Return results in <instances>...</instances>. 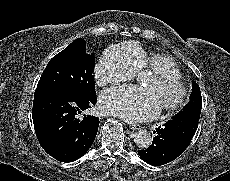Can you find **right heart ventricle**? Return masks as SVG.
I'll list each match as a JSON object with an SVG mask.
<instances>
[{"label": "right heart ventricle", "mask_w": 230, "mask_h": 181, "mask_svg": "<svg viewBox=\"0 0 230 181\" xmlns=\"http://www.w3.org/2000/svg\"><path fill=\"white\" fill-rule=\"evenodd\" d=\"M109 55L120 62L128 73L141 74L144 69L151 72L168 69L181 76L172 59L164 55L148 53L139 42H129L116 46L109 52Z\"/></svg>", "instance_id": "right-heart-ventricle-1"}]
</instances>
